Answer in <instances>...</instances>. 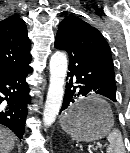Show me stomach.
<instances>
[{"mask_svg": "<svg viewBox=\"0 0 130 153\" xmlns=\"http://www.w3.org/2000/svg\"><path fill=\"white\" fill-rule=\"evenodd\" d=\"M114 125L110 106L97 97H87L73 105L61 119L64 131L77 141L103 138Z\"/></svg>", "mask_w": 130, "mask_h": 153, "instance_id": "0dacf381", "label": "stomach"}]
</instances>
